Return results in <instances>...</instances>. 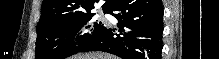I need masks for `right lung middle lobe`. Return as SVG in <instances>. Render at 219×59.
Returning a JSON list of instances; mask_svg holds the SVG:
<instances>
[{
    "label": "right lung middle lobe",
    "instance_id": "right-lung-middle-lobe-1",
    "mask_svg": "<svg viewBox=\"0 0 219 59\" xmlns=\"http://www.w3.org/2000/svg\"><path fill=\"white\" fill-rule=\"evenodd\" d=\"M93 16L61 18L37 27L35 59H64L80 52L106 30L101 22H92Z\"/></svg>",
    "mask_w": 219,
    "mask_h": 59
}]
</instances>
